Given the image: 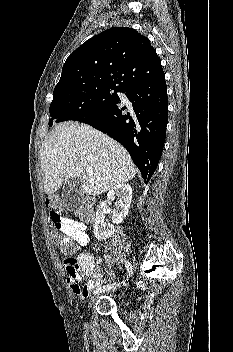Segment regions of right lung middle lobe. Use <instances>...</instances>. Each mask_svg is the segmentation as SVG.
<instances>
[{"instance_id": "right-lung-middle-lobe-1", "label": "right lung middle lobe", "mask_w": 233, "mask_h": 352, "mask_svg": "<svg viewBox=\"0 0 233 352\" xmlns=\"http://www.w3.org/2000/svg\"><path fill=\"white\" fill-rule=\"evenodd\" d=\"M125 89L115 85H98L81 87L53 94L50 104L49 126L68 120L78 121L81 118L98 113L120 100L117 92Z\"/></svg>"}]
</instances>
